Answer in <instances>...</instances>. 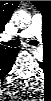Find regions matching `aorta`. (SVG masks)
Segmentation results:
<instances>
[{"instance_id":"762f6f07","label":"aorta","mask_w":51,"mask_h":101,"mask_svg":"<svg viewBox=\"0 0 51 101\" xmlns=\"http://www.w3.org/2000/svg\"><path fill=\"white\" fill-rule=\"evenodd\" d=\"M29 18L30 17L28 16V14L27 13H23L22 11H17L13 15V21L20 28L26 27V25L30 21ZM34 54H35V57L42 58V49H39L38 51L36 50L34 52Z\"/></svg>"}]
</instances>
